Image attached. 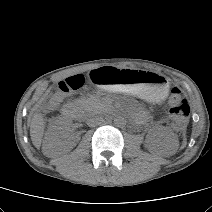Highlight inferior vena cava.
Segmentation results:
<instances>
[{
  "label": "inferior vena cava",
  "instance_id": "602c4592",
  "mask_svg": "<svg viewBox=\"0 0 212 212\" xmlns=\"http://www.w3.org/2000/svg\"><path fill=\"white\" fill-rule=\"evenodd\" d=\"M103 119L101 117H91L87 120V125L90 127H94L97 125H100L102 123Z\"/></svg>",
  "mask_w": 212,
  "mask_h": 212
}]
</instances>
